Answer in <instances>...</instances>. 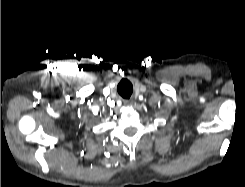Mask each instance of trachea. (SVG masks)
Returning a JSON list of instances; mask_svg holds the SVG:
<instances>
[{"instance_id": "1", "label": "trachea", "mask_w": 245, "mask_h": 187, "mask_svg": "<svg viewBox=\"0 0 245 187\" xmlns=\"http://www.w3.org/2000/svg\"><path fill=\"white\" fill-rule=\"evenodd\" d=\"M117 90L123 98H129L130 95L132 94L133 87L128 80H122L118 84Z\"/></svg>"}]
</instances>
